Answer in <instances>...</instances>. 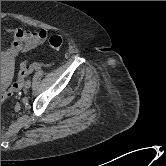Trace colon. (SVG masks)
Returning a JSON list of instances; mask_svg holds the SVG:
<instances>
[{
    "mask_svg": "<svg viewBox=\"0 0 166 166\" xmlns=\"http://www.w3.org/2000/svg\"><path fill=\"white\" fill-rule=\"evenodd\" d=\"M49 45L54 50L60 49L63 45L62 37L59 35L50 36ZM28 72L29 68L27 62L24 61L20 65L18 79L12 84L9 90H7L6 92H1V102L12 96L14 92L18 91L21 88L24 77L27 75Z\"/></svg>",
    "mask_w": 166,
    "mask_h": 166,
    "instance_id": "5ec220e1",
    "label": "colon"
}]
</instances>
